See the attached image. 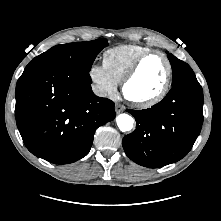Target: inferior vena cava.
<instances>
[{
	"mask_svg": "<svg viewBox=\"0 0 221 221\" xmlns=\"http://www.w3.org/2000/svg\"><path fill=\"white\" fill-rule=\"evenodd\" d=\"M92 89H93V92H94L97 96H100V97H106V96H107L106 90H105L103 87H101V86L93 85V86H92Z\"/></svg>",
	"mask_w": 221,
	"mask_h": 221,
	"instance_id": "1",
	"label": "inferior vena cava"
}]
</instances>
